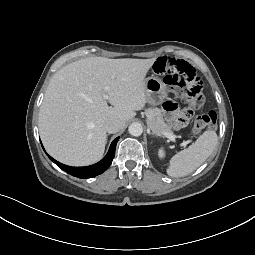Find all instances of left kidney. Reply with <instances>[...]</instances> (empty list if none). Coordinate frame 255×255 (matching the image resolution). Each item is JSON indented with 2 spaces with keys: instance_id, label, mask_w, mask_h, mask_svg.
<instances>
[{
  "instance_id": "1",
  "label": "left kidney",
  "mask_w": 255,
  "mask_h": 255,
  "mask_svg": "<svg viewBox=\"0 0 255 255\" xmlns=\"http://www.w3.org/2000/svg\"><path fill=\"white\" fill-rule=\"evenodd\" d=\"M159 156L163 157V150L162 149L159 150Z\"/></svg>"
}]
</instances>
